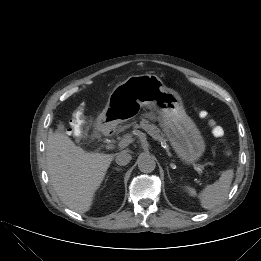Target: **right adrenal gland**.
<instances>
[{"mask_svg":"<svg viewBox=\"0 0 261 261\" xmlns=\"http://www.w3.org/2000/svg\"><path fill=\"white\" fill-rule=\"evenodd\" d=\"M117 171H120L121 169L120 168H115Z\"/></svg>","mask_w":261,"mask_h":261,"instance_id":"right-adrenal-gland-1","label":"right adrenal gland"}]
</instances>
